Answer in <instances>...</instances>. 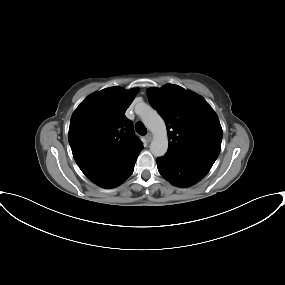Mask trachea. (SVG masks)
Wrapping results in <instances>:
<instances>
[{
    "label": "trachea",
    "instance_id": "obj_1",
    "mask_svg": "<svg viewBox=\"0 0 285 285\" xmlns=\"http://www.w3.org/2000/svg\"><path fill=\"white\" fill-rule=\"evenodd\" d=\"M135 130L139 135H146L147 129L142 122H137L135 124Z\"/></svg>",
    "mask_w": 285,
    "mask_h": 285
}]
</instances>
